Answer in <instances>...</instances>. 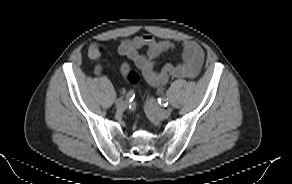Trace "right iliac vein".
<instances>
[{
  "mask_svg": "<svg viewBox=\"0 0 292 184\" xmlns=\"http://www.w3.org/2000/svg\"><path fill=\"white\" fill-rule=\"evenodd\" d=\"M115 104H116L117 109L122 110L127 106L128 103L126 100L119 98L116 100Z\"/></svg>",
  "mask_w": 292,
  "mask_h": 184,
  "instance_id": "63e3f726",
  "label": "right iliac vein"
}]
</instances>
